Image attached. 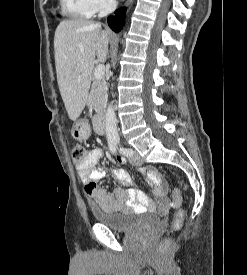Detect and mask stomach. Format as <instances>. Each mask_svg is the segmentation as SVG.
Segmentation results:
<instances>
[{
	"label": "stomach",
	"mask_w": 247,
	"mask_h": 275,
	"mask_svg": "<svg viewBox=\"0 0 247 275\" xmlns=\"http://www.w3.org/2000/svg\"><path fill=\"white\" fill-rule=\"evenodd\" d=\"M72 135L76 140H84L88 138L89 129L87 124L81 121L75 122Z\"/></svg>",
	"instance_id": "stomach-1"
}]
</instances>
